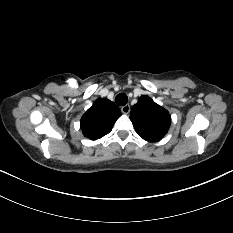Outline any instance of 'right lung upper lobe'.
Segmentation results:
<instances>
[{"mask_svg":"<svg viewBox=\"0 0 233 233\" xmlns=\"http://www.w3.org/2000/svg\"><path fill=\"white\" fill-rule=\"evenodd\" d=\"M120 116V109L114 102L99 98L82 116L81 130L90 140L99 139L112 130Z\"/></svg>","mask_w":233,"mask_h":233,"instance_id":"cb5924a9","label":"right lung upper lobe"}]
</instances>
